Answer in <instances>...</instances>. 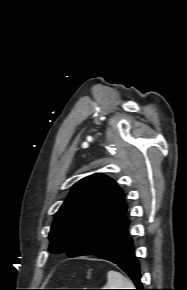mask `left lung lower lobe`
Here are the masks:
<instances>
[{
    "instance_id": "0a47b994",
    "label": "left lung lower lobe",
    "mask_w": 187,
    "mask_h": 290,
    "mask_svg": "<svg viewBox=\"0 0 187 290\" xmlns=\"http://www.w3.org/2000/svg\"><path fill=\"white\" fill-rule=\"evenodd\" d=\"M129 221L126 218L93 255L117 264L133 280L136 290L143 289L139 263L134 255L133 242L128 236Z\"/></svg>"
}]
</instances>
